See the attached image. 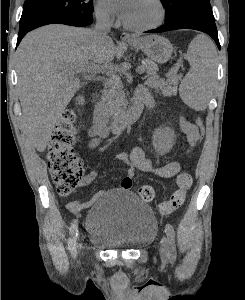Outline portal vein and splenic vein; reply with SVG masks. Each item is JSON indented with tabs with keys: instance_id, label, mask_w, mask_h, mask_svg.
I'll list each match as a JSON object with an SVG mask.
<instances>
[{
	"instance_id": "1",
	"label": "portal vein and splenic vein",
	"mask_w": 245,
	"mask_h": 300,
	"mask_svg": "<svg viewBox=\"0 0 245 300\" xmlns=\"http://www.w3.org/2000/svg\"><path fill=\"white\" fill-rule=\"evenodd\" d=\"M101 70V69H100ZM97 71V68H95V67H90V68H87L86 70H84L83 72H92V73H95ZM137 73L138 74H143L144 73V71H145V67L144 66H139L138 68H137Z\"/></svg>"
}]
</instances>
